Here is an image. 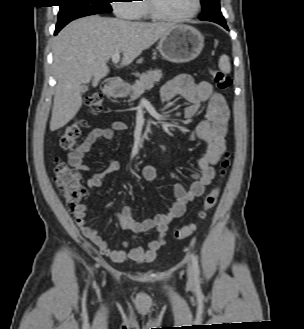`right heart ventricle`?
I'll use <instances>...</instances> for the list:
<instances>
[{
  "label": "right heart ventricle",
  "instance_id": "obj_1",
  "mask_svg": "<svg viewBox=\"0 0 304 329\" xmlns=\"http://www.w3.org/2000/svg\"><path fill=\"white\" fill-rule=\"evenodd\" d=\"M142 3L137 5L138 8V18H148L149 11L147 8L146 0H141Z\"/></svg>",
  "mask_w": 304,
  "mask_h": 329
}]
</instances>
